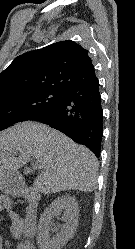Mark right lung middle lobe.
<instances>
[{"label": "right lung middle lobe", "mask_w": 135, "mask_h": 249, "mask_svg": "<svg viewBox=\"0 0 135 249\" xmlns=\"http://www.w3.org/2000/svg\"><path fill=\"white\" fill-rule=\"evenodd\" d=\"M62 94L56 91H34L0 97V131L12 124L28 120L57 101Z\"/></svg>", "instance_id": "dd1d6c3e"}]
</instances>
